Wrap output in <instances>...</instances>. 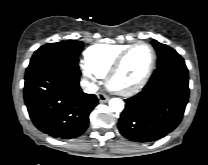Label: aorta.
<instances>
[{
	"label": "aorta",
	"instance_id": "762f6f07",
	"mask_svg": "<svg viewBox=\"0 0 208 165\" xmlns=\"http://www.w3.org/2000/svg\"><path fill=\"white\" fill-rule=\"evenodd\" d=\"M109 107L113 112L120 113L124 109V102L120 98H112L109 101Z\"/></svg>",
	"mask_w": 208,
	"mask_h": 165
}]
</instances>
